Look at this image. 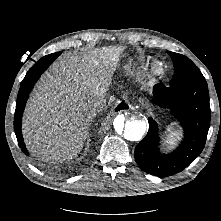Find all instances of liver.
Here are the masks:
<instances>
[{
	"instance_id": "6515ba94",
	"label": "liver",
	"mask_w": 221,
	"mask_h": 221,
	"mask_svg": "<svg viewBox=\"0 0 221 221\" xmlns=\"http://www.w3.org/2000/svg\"><path fill=\"white\" fill-rule=\"evenodd\" d=\"M124 50L120 46L67 53L52 65L23 116L24 140L33 155L56 161L77 156L96 115L94 104L105 99Z\"/></svg>"
}]
</instances>
